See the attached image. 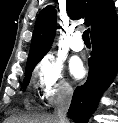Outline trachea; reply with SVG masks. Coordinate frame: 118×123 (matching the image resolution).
<instances>
[{"mask_svg":"<svg viewBox=\"0 0 118 123\" xmlns=\"http://www.w3.org/2000/svg\"><path fill=\"white\" fill-rule=\"evenodd\" d=\"M82 37H83L84 42H90L89 29L84 31Z\"/></svg>","mask_w":118,"mask_h":123,"instance_id":"1","label":"trachea"}]
</instances>
